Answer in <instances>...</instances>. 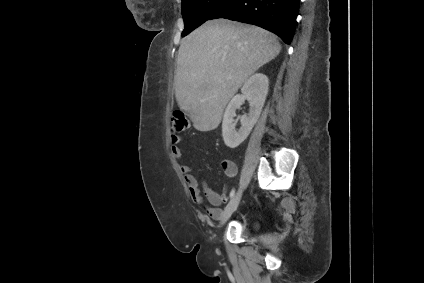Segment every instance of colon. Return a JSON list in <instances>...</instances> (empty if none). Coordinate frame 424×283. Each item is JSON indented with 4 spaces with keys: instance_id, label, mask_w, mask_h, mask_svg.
I'll list each match as a JSON object with an SVG mask.
<instances>
[{
    "instance_id": "obj_1",
    "label": "colon",
    "mask_w": 424,
    "mask_h": 283,
    "mask_svg": "<svg viewBox=\"0 0 424 283\" xmlns=\"http://www.w3.org/2000/svg\"><path fill=\"white\" fill-rule=\"evenodd\" d=\"M188 119L183 110H176L171 116V129L174 133H180L188 127Z\"/></svg>"
}]
</instances>
